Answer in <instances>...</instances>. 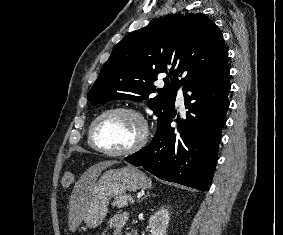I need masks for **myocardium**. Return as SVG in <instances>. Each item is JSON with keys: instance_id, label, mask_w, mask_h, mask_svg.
<instances>
[{"instance_id": "myocardium-1", "label": "myocardium", "mask_w": 283, "mask_h": 235, "mask_svg": "<svg viewBox=\"0 0 283 235\" xmlns=\"http://www.w3.org/2000/svg\"><path fill=\"white\" fill-rule=\"evenodd\" d=\"M113 113H128L136 117L141 126H142V131L141 134L138 138V140L130 147L123 149V150H118V151H111L102 148L99 146L95 140V130L98 125V123L107 115L113 114ZM149 140V126L146 118L144 115L138 111L135 108L132 107H127V106H116L112 107L109 109L104 110L101 112L91 123L90 128H89V143L90 145L98 152L107 155V156H112V157H122V156H129L132 154L137 153L141 149H143L146 144L148 143Z\"/></svg>"}]
</instances>
